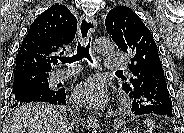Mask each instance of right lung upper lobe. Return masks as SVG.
Returning a JSON list of instances; mask_svg holds the SVG:
<instances>
[{
  "mask_svg": "<svg viewBox=\"0 0 184 133\" xmlns=\"http://www.w3.org/2000/svg\"><path fill=\"white\" fill-rule=\"evenodd\" d=\"M76 30L77 20L70 10L65 5H52L31 24L16 56L14 75H49L58 62L57 53L72 42Z\"/></svg>",
  "mask_w": 184,
  "mask_h": 133,
  "instance_id": "right-lung-upper-lobe-1",
  "label": "right lung upper lobe"
}]
</instances>
